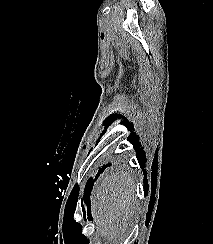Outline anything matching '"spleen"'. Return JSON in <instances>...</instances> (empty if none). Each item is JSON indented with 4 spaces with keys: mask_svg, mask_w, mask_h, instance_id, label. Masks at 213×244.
Wrapping results in <instances>:
<instances>
[{
    "mask_svg": "<svg viewBox=\"0 0 213 244\" xmlns=\"http://www.w3.org/2000/svg\"><path fill=\"white\" fill-rule=\"evenodd\" d=\"M138 201L130 175L104 174L91 201V213L97 234L116 243L128 232Z\"/></svg>",
    "mask_w": 213,
    "mask_h": 244,
    "instance_id": "spleen-1",
    "label": "spleen"
}]
</instances>
